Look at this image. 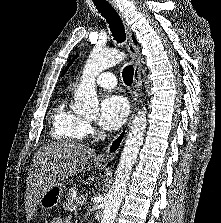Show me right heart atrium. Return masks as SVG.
<instances>
[{
	"instance_id": "1",
	"label": "right heart atrium",
	"mask_w": 221,
	"mask_h": 223,
	"mask_svg": "<svg viewBox=\"0 0 221 223\" xmlns=\"http://www.w3.org/2000/svg\"><path fill=\"white\" fill-rule=\"evenodd\" d=\"M93 127L90 124H86V133H92Z\"/></svg>"
}]
</instances>
